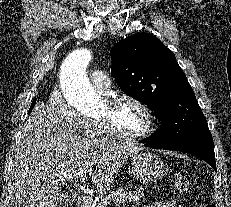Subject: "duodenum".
I'll return each mask as SVG.
<instances>
[{
  "label": "duodenum",
  "mask_w": 231,
  "mask_h": 207,
  "mask_svg": "<svg viewBox=\"0 0 231 207\" xmlns=\"http://www.w3.org/2000/svg\"><path fill=\"white\" fill-rule=\"evenodd\" d=\"M92 201L89 196H82L77 202V207H91Z\"/></svg>",
  "instance_id": "410a0bca"
}]
</instances>
